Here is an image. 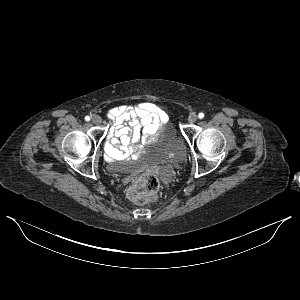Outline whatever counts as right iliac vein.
I'll list each match as a JSON object with an SVG mask.
<instances>
[{
	"mask_svg": "<svg viewBox=\"0 0 300 300\" xmlns=\"http://www.w3.org/2000/svg\"><path fill=\"white\" fill-rule=\"evenodd\" d=\"M91 120L94 124H100L101 123V117L98 116V115H93Z\"/></svg>",
	"mask_w": 300,
	"mask_h": 300,
	"instance_id": "63e3f726",
	"label": "right iliac vein"
}]
</instances>
